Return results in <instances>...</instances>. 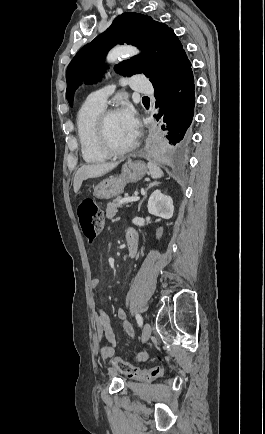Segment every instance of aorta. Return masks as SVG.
<instances>
[{
	"mask_svg": "<svg viewBox=\"0 0 265 434\" xmlns=\"http://www.w3.org/2000/svg\"><path fill=\"white\" fill-rule=\"evenodd\" d=\"M123 54H137V50L135 48H113L107 56V62H117V58Z\"/></svg>",
	"mask_w": 265,
	"mask_h": 434,
	"instance_id": "aorta-1",
	"label": "aorta"
}]
</instances>
